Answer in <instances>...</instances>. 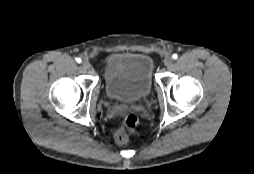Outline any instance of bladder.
Listing matches in <instances>:
<instances>
[{"label": "bladder", "mask_w": 254, "mask_h": 174, "mask_svg": "<svg viewBox=\"0 0 254 174\" xmlns=\"http://www.w3.org/2000/svg\"><path fill=\"white\" fill-rule=\"evenodd\" d=\"M153 63L143 53H124L113 57L105 68L107 95L115 100L135 102L152 90Z\"/></svg>", "instance_id": "bladder-1"}]
</instances>
